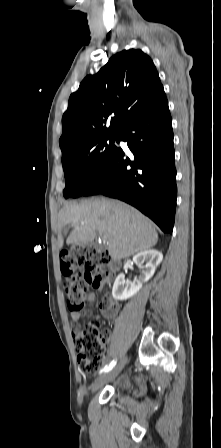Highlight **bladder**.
<instances>
[{"label":"bladder","mask_w":221,"mask_h":448,"mask_svg":"<svg viewBox=\"0 0 221 448\" xmlns=\"http://www.w3.org/2000/svg\"><path fill=\"white\" fill-rule=\"evenodd\" d=\"M134 383L133 379L129 375H124L113 382V388L115 392L118 393H127L130 392L133 389Z\"/></svg>","instance_id":"bladder-1"}]
</instances>
